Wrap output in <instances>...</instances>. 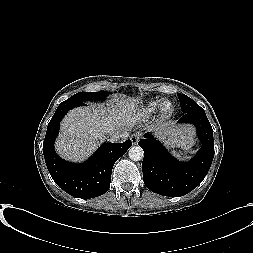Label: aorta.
<instances>
[{"label": "aorta", "instance_id": "762f6f07", "mask_svg": "<svg viewBox=\"0 0 253 253\" xmlns=\"http://www.w3.org/2000/svg\"><path fill=\"white\" fill-rule=\"evenodd\" d=\"M128 154L133 161H140L144 157V151L140 146H132L129 149Z\"/></svg>", "mask_w": 253, "mask_h": 253}]
</instances>
